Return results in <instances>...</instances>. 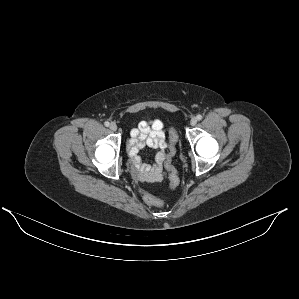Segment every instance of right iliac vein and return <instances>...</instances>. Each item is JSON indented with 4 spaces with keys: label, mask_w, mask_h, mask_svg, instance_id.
I'll list each match as a JSON object with an SVG mask.
<instances>
[{
    "label": "right iliac vein",
    "mask_w": 299,
    "mask_h": 299,
    "mask_svg": "<svg viewBox=\"0 0 299 299\" xmlns=\"http://www.w3.org/2000/svg\"><path fill=\"white\" fill-rule=\"evenodd\" d=\"M109 128L112 130V131H116L117 130V125L115 123H111Z\"/></svg>",
    "instance_id": "63e3f726"
}]
</instances>
